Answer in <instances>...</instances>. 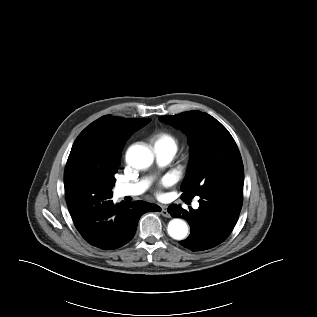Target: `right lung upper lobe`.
<instances>
[{"label": "right lung upper lobe", "mask_w": 317, "mask_h": 317, "mask_svg": "<svg viewBox=\"0 0 317 317\" xmlns=\"http://www.w3.org/2000/svg\"><path fill=\"white\" fill-rule=\"evenodd\" d=\"M150 119H125L103 116L87 126L76 138L67 165L82 156L110 161L119 166L121 152L127 139Z\"/></svg>", "instance_id": "1"}]
</instances>
